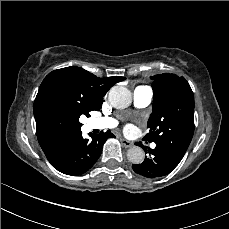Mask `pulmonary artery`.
Listing matches in <instances>:
<instances>
[{"instance_id": "e3ab8cb5", "label": "pulmonary artery", "mask_w": 229, "mask_h": 229, "mask_svg": "<svg viewBox=\"0 0 229 229\" xmlns=\"http://www.w3.org/2000/svg\"><path fill=\"white\" fill-rule=\"evenodd\" d=\"M153 98L152 89L149 86H138L133 91V102L137 108H145L151 102ZM116 125L114 119L101 118V119H90L89 127L91 129L106 130L113 128ZM152 147H155L153 144Z\"/></svg>"}]
</instances>
